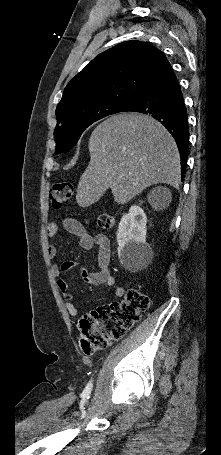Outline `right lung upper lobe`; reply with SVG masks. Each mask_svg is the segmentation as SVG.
Masks as SVG:
<instances>
[{
  "label": "right lung upper lobe",
  "mask_w": 221,
  "mask_h": 455,
  "mask_svg": "<svg viewBox=\"0 0 221 455\" xmlns=\"http://www.w3.org/2000/svg\"><path fill=\"white\" fill-rule=\"evenodd\" d=\"M167 61L160 50L141 41L106 50L68 83L56 109L57 119L99 102L131 104Z\"/></svg>",
  "instance_id": "1"
}]
</instances>
